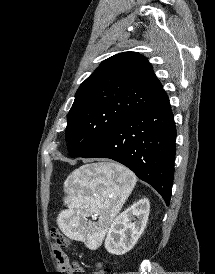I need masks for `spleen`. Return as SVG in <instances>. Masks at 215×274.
<instances>
[{"label": "spleen", "instance_id": "3e777b00", "mask_svg": "<svg viewBox=\"0 0 215 274\" xmlns=\"http://www.w3.org/2000/svg\"><path fill=\"white\" fill-rule=\"evenodd\" d=\"M136 181L130 170L113 163L84 165L73 171L64 183L68 209L58 216L59 228L68 237L87 242L89 246L98 244ZM91 212L99 220L87 225L83 219Z\"/></svg>", "mask_w": 215, "mask_h": 274}]
</instances>
